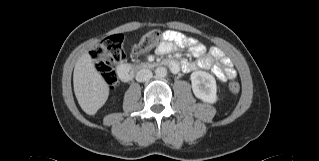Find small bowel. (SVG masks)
Returning <instances> with one entry per match:
<instances>
[{
	"mask_svg": "<svg viewBox=\"0 0 319 161\" xmlns=\"http://www.w3.org/2000/svg\"><path fill=\"white\" fill-rule=\"evenodd\" d=\"M176 45L189 46L191 55L196 59L195 61L184 59L181 62V68L184 72H192L197 69H210L223 82L236 77L237 72L235 67L222 50L212 47L207 53L204 44L177 31L164 32L162 43L158 46L156 52L161 55L168 54L176 48Z\"/></svg>",
	"mask_w": 319,
	"mask_h": 161,
	"instance_id": "1",
	"label": "small bowel"
}]
</instances>
